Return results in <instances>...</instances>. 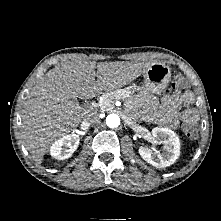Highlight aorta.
Masks as SVG:
<instances>
[{
    "mask_svg": "<svg viewBox=\"0 0 221 221\" xmlns=\"http://www.w3.org/2000/svg\"><path fill=\"white\" fill-rule=\"evenodd\" d=\"M106 124L110 128L118 127L120 125V117L117 114H114V113L109 114L106 117Z\"/></svg>",
    "mask_w": 221,
    "mask_h": 221,
    "instance_id": "obj_1",
    "label": "aorta"
}]
</instances>
